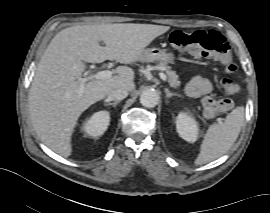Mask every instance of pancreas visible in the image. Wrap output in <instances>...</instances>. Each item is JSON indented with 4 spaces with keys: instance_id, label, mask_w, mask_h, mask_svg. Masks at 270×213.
<instances>
[{
    "instance_id": "cf45deb5",
    "label": "pancreas",
    "mask_w": 270,
    "mask_h": 213,
    "mask_svg": "<svg viewBox=\"0 0 270 213\" xmlns=\"http://www.w3.org/2000/svg\"><path fill=\"white\" fill-rule=\"evenodd\" d=\"M158 68L166 71L167 80L172 88H178L180 86L181 82L179 81V76L171 70L170 66H167L166 63L161 62L159 63Z\"/></svg>"
}]
</instances>
